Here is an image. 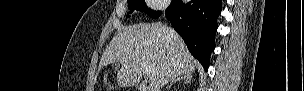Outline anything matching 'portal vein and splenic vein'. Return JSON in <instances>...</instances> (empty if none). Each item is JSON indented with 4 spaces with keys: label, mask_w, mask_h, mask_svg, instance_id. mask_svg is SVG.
Wrapping results in <instances>:
<instances>
[{
    "label": "portal vein and splenic vein",
    "mask_w": 304,
    "mask_h": 91,
    "mask_svg": "<svg viewBox=\"0 0 304 91\" xmlns=\"http://www.w3.org/2000/svg\"><path fill=\"white\" fill-rule=\"evenodd\" d=\"M139 64H140L141 68H143V70L145 71V73L147 74V76H151L152 73L150 71L149 66L145 62H143V61H140Z\"/></svg>",
    "instance_id": "obj_1"
}]
</instances>
